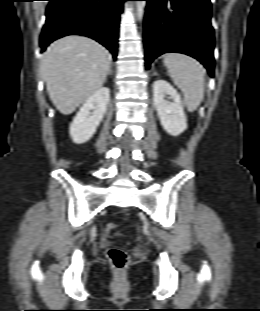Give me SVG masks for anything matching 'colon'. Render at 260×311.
I'll return each mask as SVG.
<instances>
[{"label": "colon", "instance_id": "1", "mask_svg": "<svg viewBox=\"0 0 260 311\" xmlns=\"http://www.w3.org/2000/svg\"><path fill=\"white\" fill-rule=\"evenodd\" d=\"M116 229V224L108 223L105 227V234H110ZM111 266L116 270H123L128 266L129 258L125 251L118 248H111L106 253Z\"/></svg>", "mask_w": 260, "mask_h": 311}]
</instances>
